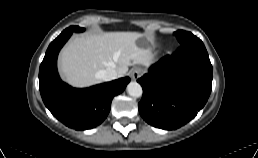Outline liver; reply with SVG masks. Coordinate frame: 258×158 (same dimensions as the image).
Wrapping results in <instances>:
<instances>
[{"mask_svg": "<svg viewBox=\"0 0 258 158\" xmlns=\"http://www.w3.org/2000/svg\"><path fill=\"white\" fill-rule=\"evenodd\" d=\"M137 32H105L72 38L62 49L59 60L66 82L88 87L102 80L97 73L108 67L123 77L132 65H149L152 53L147 41L151 38Z\"/></svg>", "mask_w": 258, "mask_h": 158, "instance_id": "1", "label": "liver"}]
</instances>
